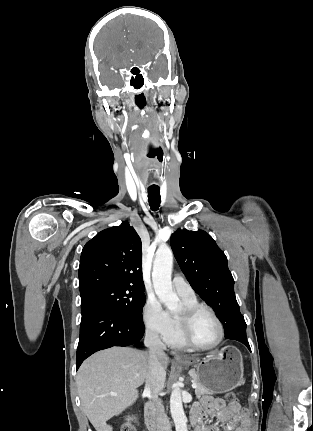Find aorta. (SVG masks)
Returning <instances> with one entry per match:
<instances>
[{"label": "aorta", "instance_id": "obj_1", "mask_svg": "<svg viewBox=\"0 0 313 431\" xmlns=\"http://www.w3.org/2000/svg\"><path fill=\"white\" fill-rule=\"evenodd\" d=\"M172 267V250L168 246L158 248L152 271L154 290L160 301L163 302L170 311H176L179 308L180 300L172 288ZM170 411L176 431H188L187 418L183 410L181 390L178 383L174 384V389L171 392Z\"/></svg>", "mask_w": 313, "mask_h": 431}]
</instances>
